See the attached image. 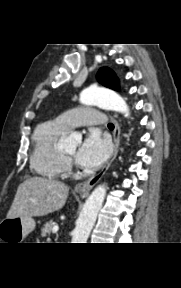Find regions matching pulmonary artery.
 <instances>
[{
    "label": "pulmonary artery",
    "instance_id": "obj_1",
    "mask_svg": "<svg viewBox=\"0 0 181 288\" xmlns=\"http://www.w3.org/2000/svg\"><path fill=\"white\" fill-rule=\"evenodd\" d=\"M56 121L66 130L74 127H89L104 125V117L100 111L94 108L78 107L64 112L56 118Z\"/></svg>",
    "mask_w": 181,
    "mask_h": 288
}]
</instances>
